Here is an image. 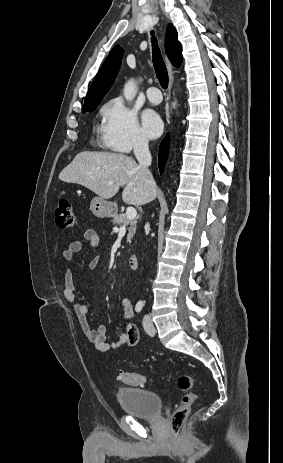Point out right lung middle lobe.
I'll return each mask as SVG.
<instances>
[{
  "instance_id": "obj_1",
  "label": "right lung middle lobe",
  "mask_w": 283,
  "mask_h": 463,
  "mask_svg": "<svg viewBox=\"0 0 283 463\" xmlns=\"http://www.w3.org/2000/svg\"><path fill=\"white\" fill-rule=\"evenodd\" d=\"M98 104L99 103H96V104H93V105H90V106H84L82 108V111L83 112L93 111L97 107Z\"/></svg>"
}]
</instances>
